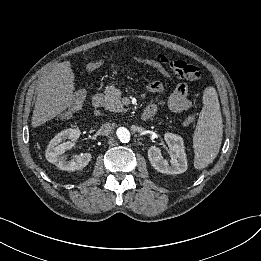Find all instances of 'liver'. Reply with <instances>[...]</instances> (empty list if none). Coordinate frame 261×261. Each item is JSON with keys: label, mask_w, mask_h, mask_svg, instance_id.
Returning a JSON list of instances; mask_svg holds the SVG:
<instances>
[{"label": "liver", "mask_w": 261, "mask_h": 261, "mask_svg": "<svg viewBox=\"0 0 261 261\" xmlns=\"http://www.w3.org/2000/svg\"><path fill=\"white\" fill-rule=\"evenodd\" d=\"M74 89V73L70 62L57 64L40 86L32 115V127H38L65 111L72 103Z\"/></svg>", "instance_id": "6515ba94"}]
</instances>
